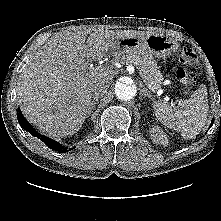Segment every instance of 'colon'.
Here are the masks:
<instances>
[{"label":"colon","mask_w":221,"mask_h":221,"mask_svg":"<svg viewBox=\"0 0 221 221\" xmlns=\"http://www.w3.org/2000/svg\"><path fill=\"white\" fill-rule=\"evenodd\" d=\"M180 62L183 66L177 67L174 70L176 79L183 84H193L195 75L190 68L196 67L197 56L191 46H184L180 53Z\"/></svg>","instance_id":"5ec220e1"}]
</instances>
